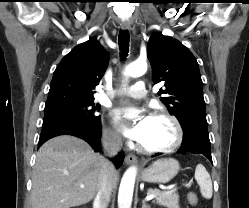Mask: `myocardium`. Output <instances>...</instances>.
<instances>
[{
  "label": "myocardium",
  "instance_id": "f54148a6",
  "mask_svg": "<svg viewBox=\"0 0 249 208\" xmlns=\"http://www.w3.org/2000/svg\"><path fill=\"white\" fill-rule=\"evenodd\" d=\"M153 117H163L168 119L174 126L175 128V133H176V138L174 140V142L172 144H170L169 146L166 147H161V148H149V147H145L141 144H138V149L144 153H148V154H161V153H169L174 151L176 148H178L182 141H183V137H184V132H183V128L182 125L180 123V121L178 120V118L174 115H172L171 113L165 111V110H156L153 112L152 114Z\"/></svg>",
  "mask_w": 249,
  "mask_h": 208
}]
</instances>
